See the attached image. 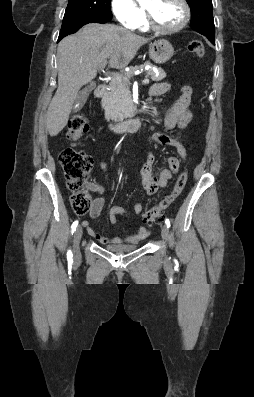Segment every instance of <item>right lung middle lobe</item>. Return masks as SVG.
<instances>
[{"label": "right lung middle lobe", "instance_id": "obj_1", "mask_svg": "<svg viewBox=\"0 0 254 397\" xmlns=\"http://www.w3.org/2000/svg\"><path fill=\"white\" fill-rule=\"evenodd\" d=\"M111 0H69L64 16H84L93 19L111 18Z\"/></svg>", "mask_w": 254, "mask_h": 397}]
</instances>
